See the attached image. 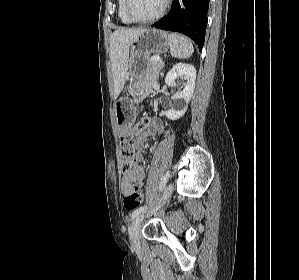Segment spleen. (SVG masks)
Here are the masks:
<instances>
[{"instance_id":"obj_1","label":"spleen","mask_w":299,"mask_h":280,"mask_svg":"<svg viewBox=\"0 0 299 280\" xmlns=\"http://www.w3.org/2000/svg\"><path fill=\"white\" fill-rule=\"evenodd\" d=\"M168 39L172 57L187 59L193 54L194 48L188 38L176 33H170Z\"/></svg>"}]
</instances>
